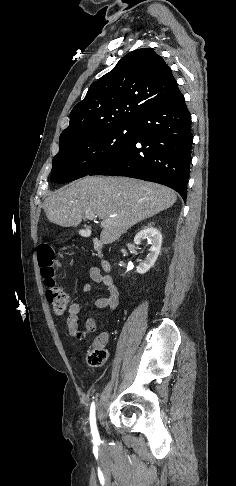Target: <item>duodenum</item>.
I'll list each match as a JSON object with an SVG mask.
<instances>
[{"mask_svg": "<svg viewBox=\"0 0 236 486\" xmlns=\"http://www.w3.org/2000/svg\"><path fill=\"white\" fill-rule=\"evenodd\" d=\"M95 249H96V251H97V253H98V255L101 259V265H102L103 269L105 271H109L110 270V264L106 259L103 258V253H102L103 244L100 241L95 242Z\"/></svg>", "mask_w": 236, "mask_h": 486, "instance_id": "410a0bca", "label": "duodenum"}]
</instances>
